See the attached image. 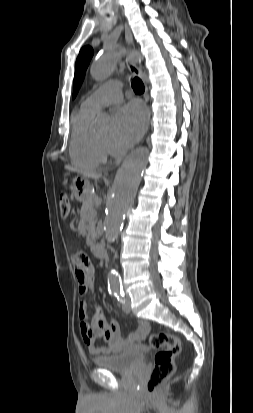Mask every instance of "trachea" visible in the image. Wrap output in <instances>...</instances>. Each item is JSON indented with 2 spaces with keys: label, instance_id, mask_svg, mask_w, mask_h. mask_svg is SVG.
<instances>
[{
  "label": "trachea",
  "instance_id": "3493384b",
  "mask_svg": "<svg viewBox=\"0 0 253 413\" xmlns=\"http://www.w3.org/2000/svg\"><path fill=\"white\" fill-rule=\"evenodd\" d=\"M131 85L135 93L141 94L144 92V84L138 77L132 79Z\"/></svg>",
  "mask_w": 253,
  "mask_h": 413
}]
</instances>
